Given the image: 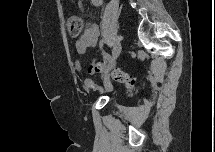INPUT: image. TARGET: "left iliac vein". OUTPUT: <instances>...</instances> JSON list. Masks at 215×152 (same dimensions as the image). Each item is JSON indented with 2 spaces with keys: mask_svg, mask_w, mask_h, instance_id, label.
<instances>
[{
  "mask_svg": "<svg viewBox=\"0 0 215 152\" xmlns=\"http://www.w3.org/2000/svg\"><path fill=\"white\" fill-rule=\"evenodd\" d=\"M121 52V43L119 40H116L115 44H114V48H113V65H115L116 59L119 56Z\"/></svg>",
  "mask_w": 215,
  "mask_h": 152,
  "instance_id": "1",
  "label": "left iliac vein"
}]
</instances>
